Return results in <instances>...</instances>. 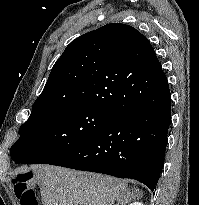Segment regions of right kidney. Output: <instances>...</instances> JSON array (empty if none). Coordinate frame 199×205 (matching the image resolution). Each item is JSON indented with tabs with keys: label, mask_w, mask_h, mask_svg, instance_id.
Masks as SVG:
<instances>
[{
	"label": "right kidney",
	"mask_w": 199,
	"mask_h": 205,
	"mask_svg": "<svg viewBox=\"0 0 199 205\" xmlns=\"http://www.w3.org/2000/svg\"><path fill=\"white\" fill-rule=\"evenodd\" d=\"M129 205H144V204L141 203V202H133V203H131V204H129Z\"/></svg>",
	"instance_id": "obj_1"
}]
</instances>
